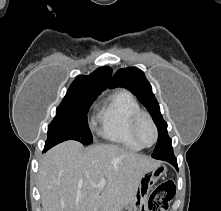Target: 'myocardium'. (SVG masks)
Returning <instances> with one entry per match:
<instances>
[{
  "instance_id": "obj_1",
  "label": "myocardium",
  "mask_w": 221,
  "mask_h": 211,
  "mask_svg": "<svg viewBox=\"0 0 221 211\" xmlns=\"http://www.w3.org/2000/svg\"><path fill=\"white\" fill-rule=\"evenodd\" d=\"M143 120H147L151 124V126L154 130L155 138H154L153 143L150 145L144 144L140 138V135H139V127H140V124ZM130 129H131L132 137L142 148L152 147L158 141V136H159L158 127H157L154 119L152 118V116L145 111L141 110L133 115V117L131 119Z\"/></svg>"
}]
</instances>
